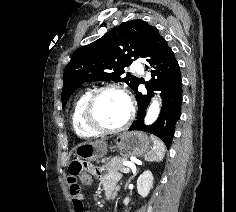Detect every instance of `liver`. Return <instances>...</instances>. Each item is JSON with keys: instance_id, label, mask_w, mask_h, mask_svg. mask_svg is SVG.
Instances as JSON below:
<instances>
[{"instance_id": "liver-1", "label": "liver", "mask_w": 236, "mask_h": 212, "mask_svg": "<svg viewBox=\"0 0 236 212\" xmlns=\"http://www.w3.org/2000/svg\"><path fill=\"white\" fill-rule=\"evenodd\" d=\"M90 143H94V144H96V145H99V144H104L105 142L102 141V140H97V141H95V142H90Z\"/></svg>"}]
</instances>
